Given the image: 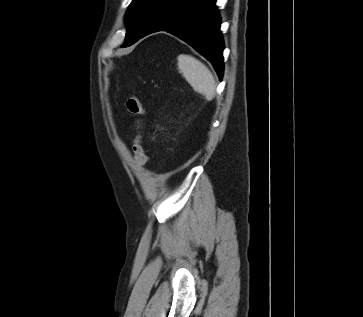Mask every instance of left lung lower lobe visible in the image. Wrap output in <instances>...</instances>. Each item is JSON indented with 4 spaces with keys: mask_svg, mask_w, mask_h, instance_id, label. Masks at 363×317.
<instances>
[{
    "mask_svg": "<svg viewBox=\"0 0 363 317\" xmlns=\"http://www.w3.org/2000/svg\"><path fill=\"white\" fill-rule=\"evenodd\" d=\"M215 2L216 0H158L149 23L138 40L154 32L167 31L206 57L222 79L224 42Z\"/></svg>",
    "mask_w": 363,
    "mask_h": 317,
    "instance_id": "1",
    "label": "left lung lower lobe"
}]
</instances>
